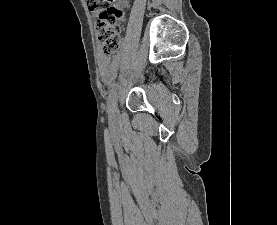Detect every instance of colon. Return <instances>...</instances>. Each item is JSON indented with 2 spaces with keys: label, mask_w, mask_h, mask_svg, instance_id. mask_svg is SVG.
Returning <instances> with one entry per match:
<instances>
[{
  "label": "colon",
  "mask_w": 277,
  "mask_h": 225,
  "mask_svg": "<svg viewBox=\"0 0 277 225\" xmlns=\"http://www.w3.org/2000/svg\"><path fill=\"white\" fill-rule=\"evenodd\" d=\"M89 9L98 12L95 22V34L100 49L105 55H112L120 51V22L123 18L122 10L114 3L115 0H86Z\"/></svg>",
  "instance_id": "5ec220e1"
}]
</instances>
